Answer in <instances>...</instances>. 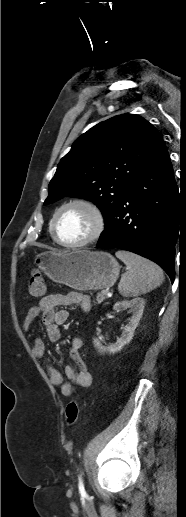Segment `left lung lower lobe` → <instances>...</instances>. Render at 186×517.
I'll list each match as a JSON object with an SVG mask.
<instances>
[{"instance_id":"0a47b994","label":"left lung lower lobe","mask_w":186,"mask_h":517,"mask_svg":"<svg viewBox=\"0 0 186 517\" xmlns=\"http://www.w3.org/2000/svg\"><path fill=\"white\" fill-rule=\"evenodd\" d=\"M179 211L178 187L162 143L129 184L97 247L120 248L146 257L161 266L173 282Z\"/></svg>"}]
</instances>
